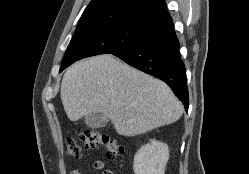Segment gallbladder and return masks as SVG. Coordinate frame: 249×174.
I'll return each instance as SVG.
<instances>
[{
  "label": "gallbladder",
  "instance_id": "obj_1",
  "mask_svg": "<svg viewBox=\"0 0 249 174\" xmlns=\"http://www.w3.org/2000/svg\"><path fill=\"white\" fill-rule=\"evenodd\" d=\"M109 118L102 113H91L85 116V124L91 128H101L107 125Z\"/></svg>",
  "mask_w": 249,
  "mask_h": 174
}]
</instances>
